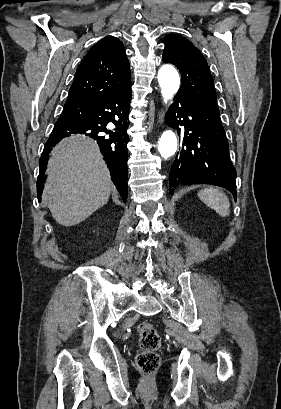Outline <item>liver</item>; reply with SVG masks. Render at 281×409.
I'll use <instances>...</instances> for the list:
<instances>
[{
	"label": "liver",
	"mask_w": 281,
	"mask_h": 409,
	"mask_svg": "<svg viewBox=\"0 0 281 409\" xmlns=\"http://www.w3.org/2000/svg\"><path fill=\"white\" fill-rule=\"evenodd\" d=\"M44 200L53 219L74 227L108 202L112 182L97 144L76 134L57 144L48 160Z\"/></svg>",
	"instance_id": "liver-1"
}]
</instances>
